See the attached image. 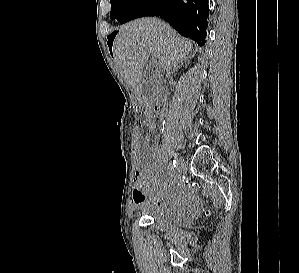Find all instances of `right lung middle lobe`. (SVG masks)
Returning a JSON list of instances; mask_svg holds the SVG:
<instances>
[{
  "instance_id": "1",
  "label": "right lung middle lobe",
  "mask_w": 299,
  "mask_h": 273,
  "mask_svg": "<svg viewBox=\"0 0 299 273\" xmlns=\"http://www.w3.org/2000/svg\"><path fill=\"white\" fill-rule=\"evenodd\" d=\"M136 0H110L111 2V14L110 17L112 20L117 19L120 21L125 15L127 10Z\"/></svg>"
}]
</instances>
